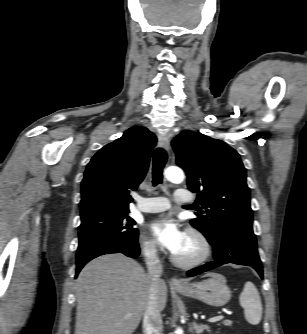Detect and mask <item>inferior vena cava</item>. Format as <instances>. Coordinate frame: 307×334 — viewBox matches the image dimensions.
Here are the masks:
<instances>
[{
    "label": "inferior vena cava",
    "instance_id": "602c4592",
    "mask_svg": "<svg viewBox=\"0 0 307 334\" xmlns=\"http://www.w3.org/2000/svg\"><path fill=\"white\" fill-rule=\"evenodd\" d=\"M146 264L151 278L149 301L143 317V330L145 334H158L162 329V317L157 304L158 283L163 272L162 265L157 256L154 245L146 248Z\"/></svg>",
    "mask_w": 307,
    "mask_h": 334
}]
</instances>
